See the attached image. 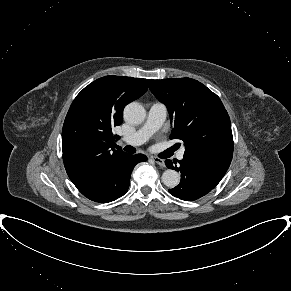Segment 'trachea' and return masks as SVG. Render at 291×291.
Segmentation results:
<instances>
[{
  "label": "trachea",
  "mask_w": 291,
  "mask_h": 291,
  "mask_svg": "<svg viewBox=\"0 0 291 291\" xmlns=\"http://www.w3.org/2000/svg\"><path fill=\"white\" fill-rule=\"evenodd\" d=\"M124 150L129 152V153H134L135 152V148L132 146H125Z\"/></svg>",
  "instance_id": "obj_1"
}]
</instances>
